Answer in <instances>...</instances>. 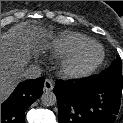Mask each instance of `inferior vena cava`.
<instances>
[{"label": "inferior vena cava", "instance_id": "inferior-vena-cava-1", "mask_svg": "<svg viewBox=\"0 0 123 123\" xmlns=\"http://www.w3.org/2000/svg\"><path fill=\"white\" fill-rule=\"evenodd\" d=\"M41 74L42 70L40 69V67L36 65H31L22 73V77L26 79H36L40 77Z\"/></svg>", "mask_w": 123, "mask_h": 123}]
</instances>
